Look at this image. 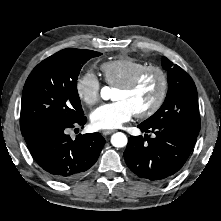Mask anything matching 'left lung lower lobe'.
I'll list each match as a JSON object with an SVG mask.
<instances>
[{
	"label": "left lung lower lobe",
	"mask_w": 221,
	"mask_h": 221,
	"mask_svg": "<svg viewBox=\"0 0 221 221\" xmlns=\"http://www.w3.org/2000/svg\"><path fill=\"white\" fill-rule=\"evenodd\" d=\"M147 134L132 136L124 152L129 169L137 176L150 181H164L177 174L189 158L196 143L194 136L171 126L138 125Z\"/></svg>",
	"instance_id": "1"
}]
</instances>
